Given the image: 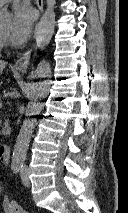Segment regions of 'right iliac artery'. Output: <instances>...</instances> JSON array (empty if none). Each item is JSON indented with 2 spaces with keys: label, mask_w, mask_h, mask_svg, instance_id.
<instances>
[{
  "label": "right iliac artery",
  "mask_w": 128,
  "mask_h": 213,
  "mask_svg": "<svg viewBox=\"0 0 128 213\" xmlns=\"http://www.w3.org/2000/svg\"><path fill=\"white\" fill-rule=\"evenodd\" d=\"M22 165H14L12 166V170L14 173H18L19 170L21 169Z\"/></svg>",
  "instance_id": "obj_1"
}]
</instances>
